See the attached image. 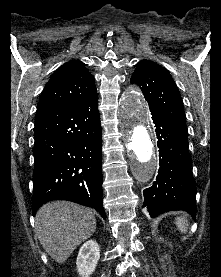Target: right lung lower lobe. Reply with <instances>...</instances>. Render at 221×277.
Wrapping results in <instances>:
<instances>
[{"mask_svg": "<svg viewBox=\"0 0 221 277\" xmlns=\"http://www.w3.org/2000/svg\"><path fill=\"white\" fill-rule=\"evenodd\" d=\"M97 102L96 94L75 105L37 111L33 215L47 201L68 200L92 207L105 218Z\"/></svg>", "mask_w": 221, "mask_h": 277, "instance_id": "98d812e1", "label": "right lung lower lobe"}]
</instances>
